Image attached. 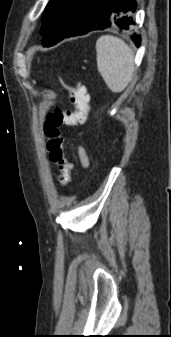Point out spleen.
I'll use <instances>...</instances> for the list:
<instances>
[{
    "mask_svg": "<svg viewBox=\"0 0 171 337\" xmlns=\"http://www.w3.org/2000/svg\"><path fill=\"white\" fill-rule=\"evenodd\" d=\"M98 71L107 87L114 93L122 92L132 79L134 53L122 39L103 35L96 42Z\"/></svg>",
    "mask_w": 171,
    "mask_h": 337,
    "instance_id": "obj_1",
    "label": "spleen"
}]
</instances>
